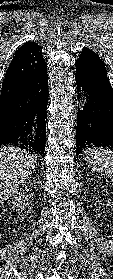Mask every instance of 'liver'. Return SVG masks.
Listing matches in <instances>:
<instances>
[{"label":"liver","mask_w":113,"mask_h":279,"mask_svg":"<svg viewBox=\"0 0 113 279\" xmlns=\"http://www.w3.org/2000/svg\"><path fill=\"white\" fill-rule=\"evenodd\" d=\"M36 164V154L12 146L0 148V204L17 192Z\"/></svg>","instance_id":"liver-1"}]
</instances>
